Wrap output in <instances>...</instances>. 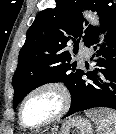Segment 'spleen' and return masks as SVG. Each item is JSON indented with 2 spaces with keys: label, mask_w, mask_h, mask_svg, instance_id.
<instances>
[{
  "label": "spleen",
  "mask_w": 116,
  "mask_h": 134,
  "mask_svg": "<svg viewBox=\"0 0 116 134\" xmlns=\"http://www.w3.org/2000/svg\"><path fill=\"white\" fill-rule=\"evenodd\" d=\"M86 115L97 125L99 134H116V111L102 108L89 110Z\"/></svg>",
  "instance_id": "1"
}]
</instances>
